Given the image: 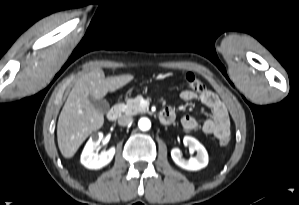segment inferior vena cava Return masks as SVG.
I'll use <instances>...</instances> for the list:
<instances>
[{"label":"inferior vena cava","instance_id":"1","mask_svg":"<svg viewBox=\"0 0 299 205\" xmlns=\"http://www.w3.org/2000/svg\"><path fill=\"white\" fill-rule=\"evenodd\" d=\"M131 121H132V117L131 116L122 115L118 119V124L121 125V126H126V125L130 124Z\"/></svg>","mask_w":299,"mask_h":205}]
</instances>
